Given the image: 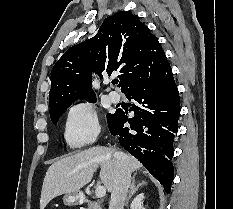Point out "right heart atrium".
I'll return each instance as SVG.
<instances>
[{
	"instance_id": "1",
	"label": "right heart atrium",
	"mask_w": 233,
	"mask_h": 209,
	"mask_svg": "<svg viewBox=\"0 0 233 209\" xmlns=\"http://www.w3.org/2000/svg\"><path fill=\"white\" fill-rule=\"evenodd\" d=\"M100 132L97 111L88 102L73 105L67 114L64 137L71 148L93 143Z\"/></svg>"
}]
</instances>
